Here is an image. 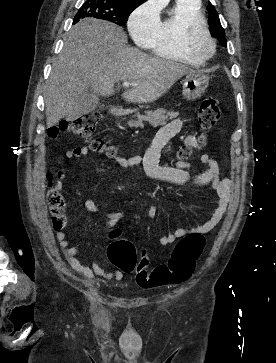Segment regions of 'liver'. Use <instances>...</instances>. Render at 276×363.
I'll list each match as a JSON object with an SVG mask.
<instances>
[{
	"instance_id": "liver-1",
	"label": "liver",
	"mask_w": 276,
	"mask_h": 363,
	"mask_svg": "<svg viewBox=\"0 0 276 363\" xmlns=\"http://www.w3.org/2000/svg\"><path fill=\"white\" fill-rule=\"evenodd\" d=\"M193 71L187 65L129 47L124 30L113 23L84 19L67 33L53 63L45 91L47 127L68 116L88 88L95 95L109 97L116 82H132L135 86L123 93V99L151 103Z\"/></svg>"
}]
</instances>
